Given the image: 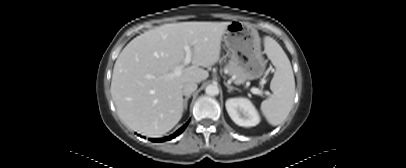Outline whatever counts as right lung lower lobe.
Returning <instances> with one entry per match:
<instances>
[{"instance_id": "obj_1", "label": "right lung lower lobe", "mask_w": 406, "mask_h": 168, "mask_svg": "<svg viewBox=\"0 0 406 168\" xmlns=\"http://www.w3.org/2000/svg\"><path fill=\"white\" fill-rule=\"evenodd\" d=\"M188 125V122L186 124H184L179 130H177L174 134L165 137V138H159V139H151L154 142H162V141H167V140H171L173 138H175L176 136H178L179 134H181L184 129L186 128V126Z\"/></svg>"}]
</instances>
